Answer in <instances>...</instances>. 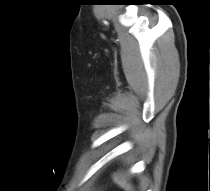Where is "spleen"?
Returning <instances> with one entry per match:
<instances>
[{"instance_id": "obj_1", "label": "spleen", "mask_w": 210, "mask_h": 191, "mask_svg": "<svg viewBox=\"0 0 210 191\" xmlns=\"http://www.w3.org/2000/svg\"><path fill=\"white\" fill-rule=\"evenodd\" d=\"M115 182L120 186L122 187L123 189H125L126 191H132V186L131 184H129L128 182H126L125 180L123 179H119L117 177H115Z\"/></svg>"}]
</instances>
